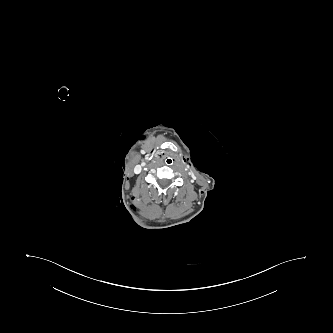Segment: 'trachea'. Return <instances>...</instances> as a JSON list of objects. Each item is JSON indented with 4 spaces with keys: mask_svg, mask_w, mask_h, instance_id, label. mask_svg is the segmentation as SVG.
<instances>
[{
    "mask_svg": "<svg viewBox=\"0 0 333 333\" xmlns=\"http://www.w3.org/2000/svg\"><path fill=\"white\" fill-rule=\"evenodd\" d=\"M161 163H162V165L165 166V167H170V166H172L173 163H174V158H173V156L170 155V154H165V155H163L162 158H161Z\"/></svg>",
    "mask_w": 333,
    "mask_h": 333,
    "instance_id": "trachea-1",
    "label": "trachea"
}]
</instances>
